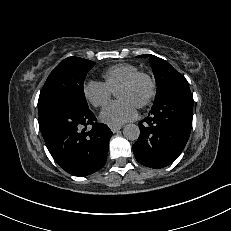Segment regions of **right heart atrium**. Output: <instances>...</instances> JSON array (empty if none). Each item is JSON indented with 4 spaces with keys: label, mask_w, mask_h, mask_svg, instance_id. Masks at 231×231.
Masks as SVG:
<instances>
[{
    "label": "right heart atrium",
    "mask_w": 231,
    "mask_h": 231,
    "mask_svg": "<svg viewBox=\"0 0 231 231\" xmlns=\"http://www.w3.org/2000/svg\"><path fill=\"white\" fill-rule=\"evenodd\" d=\"M85 99L95 108L104 107L111 99L112 91L103 83L95 80L85 81L82 85Z\"/></svg>",
    "instance_id": "right-heart-atrium-1"
}]
</instances>
